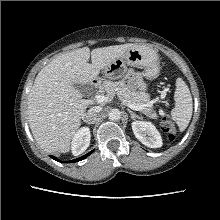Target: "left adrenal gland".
I'll return each mask as SVG.
<instances>
[{"label":"left adrenal gland","mask_w":220,"mask_h":220,"mask_svg":"<svg viewBox=\"0 0 220 220\" xmlns=\"http://www.w3.org/2000/svg\"><path fill=\"white\" fill-rule=\"evenodd\" d=\"M127 111L129 112L130 117H131L132 119L138 118V115H136V114H135L133 111H131L130 109H128Z\"/></svg>","instance_id":"1"}]
</instances>
